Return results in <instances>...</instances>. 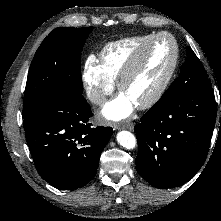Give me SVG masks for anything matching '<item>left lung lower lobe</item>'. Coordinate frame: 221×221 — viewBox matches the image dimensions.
<instances>
[{"label": "left lung lower lobe", "mask_w": 221, "mask_h": 221, "mask_svg": "<svg viewBox=\"0 0 221 221\" xmlns=\"http://www.w3.org/2000/svg\"><path fill=\"white\" fill-rule=\"evenodd\" d=\"M215 122L212 87L161 98L135 126L139 175L158 188L190 180L206 160Z\"/></svg>", "instance_id": "0a47b994"}]
</instances>
